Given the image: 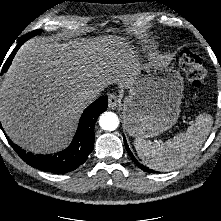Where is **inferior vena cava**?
<instances>
[{"label":"inferior vena cava","instance_id":"obj_1","mask_svg":"<svg viewBox=\"0 0 221 221\" xmlns=\"http://www.w3.org/2000/svg\"><path fill=\"white\" fill-rule=\"evenodd\" d=\"M98 96L97 90H85L79 93L78 100L82 104H89Z\"/></svg>","mask_w":221,"mask_h":221}]
</instances>
